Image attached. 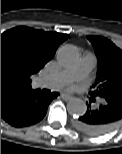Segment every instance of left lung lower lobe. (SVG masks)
<instances>
[{
	"instance_id": "left-lung-lower-lobe-1",
	"label": "left lung lower lobe",
	"mask_w": 122,
	"mask_h": 154,
	"mask_svg": "<svg viewBox=\"0 0 122 154\" xmlns=\"http://www.w3.org/2000/svg\"><path fill=\"white\" fill-rule=\"evenodd\" d=\"M91 102L95 98L89 99ZM101 104L91 109L75 120V127L89 135H103L111 131L122 119V90H116L106 95Z\"/></svg>"
}]
</instances>
